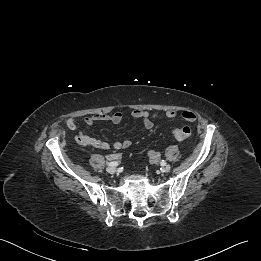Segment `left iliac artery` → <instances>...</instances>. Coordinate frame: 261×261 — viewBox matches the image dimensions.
Here are the masks:
<instances>
[{"instance_id": "1", "label": "left iliac artery", "mask_w": 261, "mask_h": 261, "mask_svg": "<svg viewBox=\"0 0 261 261\" xmlns=\"http://www.w3.org/2000/svg\"><path fill=\"white\" fill-rule=\"evenodd\" d=\"M166 162L164 160L161 161V165H165Z\"/></svg>"}]
</instances>
